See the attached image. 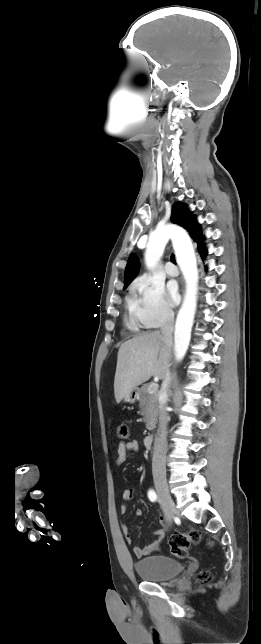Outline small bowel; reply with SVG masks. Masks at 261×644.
I'll return each instance as SVG.
<instances>
[{
  "instance_id": "small-bowel-1",
  "label": "small bowel",
  "mask_w": 261,
  "mask_h": 644,
  "mask_svg": "<svg viewBox=\"0 0 261 644\" xmlns=\"http://www.w3.org/2000/svg\"><path fill=\"white\" fill-rule=\"evenodd\" d=\"M138 451H139V444L137 441L132 440L129 442H120L117 448V458L115 460V464L117 466H120L125 462L128 453H136ZM134 494H135V490L133 488H127L122 492V499L124 503L120 507L121 513L126 512L127 510L126 502L130 501L134 497ZM135 515L137 517L142 516L143 510L141 508H137L135 511ZM170 520L171 518L168 514H163L159 516L160 528L155 531L156 538L144 547H139V546L133 547V553L136 557L141 558L143 556L149 555L159 550L164 540L165 530L168 524L170 523ZM121 529H122V532L125 534L127 541L131 542L132 536L130 533L129 526L124 524L121 526Z\"/></svg>"
}]
</instances>
